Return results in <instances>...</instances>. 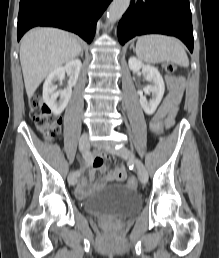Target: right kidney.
Returning <instances> with one entry per match:
<instances>
[{"instance_id":"ca27d5eb","label":"right kidney","mask_w":219,"mask_h":258,"mask_svg":"<svg viewBox=\"0 0 219 258\" xmlns=\"http://www.w3.org/2000/svg\"><path fill=\"white\" fill-rule=\"evenodd\" d=\"M82 63L79 59H74L63 67L56 68L46 78L43 85V100L50 110L56 114H61L66 108L72 94V87L76 84ZM69 73L68 86L64 91L58 92L55 82L63 80L65 73ZM60 100L57 101V98Z\"/></svg>"}]
</instances>
